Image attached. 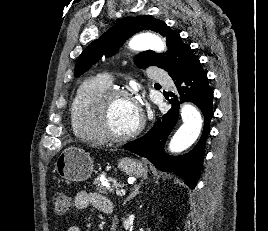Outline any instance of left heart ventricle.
I'll use <instances>...</instances> for the list:
<instances>
[{
    "label": "left heart ventricle",
    "instance_id": "obj_1",
    "mask_svg": "<svg viewBox=\"0 0 268 231\" xmlns=\"http://www.w3.org/2000/svg\"><path fill=\"white\" fill-rule=\"evenodd\" d=\"M141 111L137 104L129 98L114 101L110 109L112 128L118 133L134 130L140 123Z\"/></svg>",
    "mask_w": 268,
    "mask_h": 231
}]
</instances>
